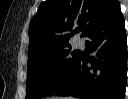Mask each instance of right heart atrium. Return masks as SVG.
I'll list each match as a JSON object with an SVG mask.
<instances>
[{"mask_svg": "<svg viewBox=\"0 0 128 99\" xmlns=\"http://www.w3.org/2000/svg\"><path fill=\"white\" fill-rule=\"evenodd\" d=\"M54 69L56 70V69H57V67L55 66V67H54Z\"/></svg>", "mask_w": 128, "mask_h": 99, "instance_id": "right-heart-atrium-1", "label": "right heart atrium"}]
</instances>
